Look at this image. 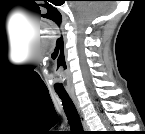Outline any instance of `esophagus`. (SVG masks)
I'll list each match as a JSON object with an SVG mask.
<instances>
[{"mask_svg": "<svg viewBox=\"0 0 145 134\" xmlns=\"http://www.w3.org/2000/svg\"><path fill=\"white\" fill-rule=\"evenodd\" d=\"M72 100H73L74 105L76 107V110H77V112L79 114V118H80V121H81V124H82V127H83L84 131H88L89 130V126H88V124H87V122L85 120V117H84V115H83V113L81 111L80 105H79L76 97L73 96Z\"/></svg>", "mask_w": 145, "mask_h": 134, "instance_id": "1", "label": "esophagus"}]
</instances>
